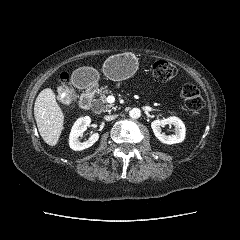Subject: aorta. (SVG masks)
Segmentation results:
<instances>
[{"label": "aorta", "mask_w": 240, "mask_h": 240, "mask_svg": "<svg viewBox=\"0 0 240 240\" xmlns=\"http://www.w3.org/2000/svg\"><path fill=\"white\" fill-rule=\"evenodd\" d=\"M129 116L133 119H138L141 116V110L139 108H132L129 111Z\"/></svg>", "instance_id": "1"}]
</instances>
